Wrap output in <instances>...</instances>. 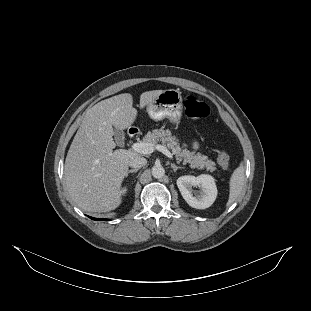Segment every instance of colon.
<instances>
[{"mask_svg":"<svg viewBox=\"0 0 311 311\" xmlns=\"http://www.w3.org/2000/svg\"><path fill=\"white\" fill-rule=\"evenodd\" d=\"M184 108L186 116L191 120H201L209 115L208 105L194 96H187L184 99ZM217 161L223 169L230 166V157L224 150L217 151Z\"/></svg>","mask_w":311,"mask_h":311,"instance_id":"obj_1","label":"colon"}]
</instances>
